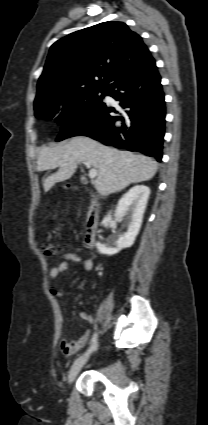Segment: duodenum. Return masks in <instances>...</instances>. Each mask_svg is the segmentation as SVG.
I'll return each mask as SVG.
<instances>
[{
    "label": "duodenum",
    "instance_id": "obj_1",
    "mask_svg": "<svg viewBox=\"0 0 208 425\" xmlns=\"http://www.w3.org/2000/svg\"><path fill=\"white\" fill-rule=\"evenodd\" d=\"M89 204L86 212L85 229H84V245L92 248L95 244L96 235L99 228V211L95 202V197L89 192Z\"/></svg>",
    "mask_w": 208,
    "mask_h": 425
}]
</instances>
